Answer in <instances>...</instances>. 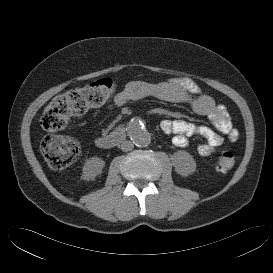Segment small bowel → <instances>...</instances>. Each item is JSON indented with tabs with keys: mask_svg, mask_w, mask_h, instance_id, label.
Here are the masks:
<instances>
[{
	"mask_svg": "<svg viewBox=\"0 0 273 273\" xmlns=\"http://www.w3.org/2000/svg\"><path fill=\"white\" fill-rule=\"evenodd\" d=\"M155 97L167 102L186 104L199 115L207 117L214 129L180 119L163 120V132L173 134V144L185 148L192 136H200L205 142L198 146V153L211 156L224 143L225 137L231 142L238 140V132L232 127L226 109L215 103L212 97L202 94L199 86L191 79L174 77L161 82L130 80L114 99L115 106H123L128 101Z\"/></svg>",
	"mask_w": 273,
	"mask_h": 273,
	"instance_id": "small-bowel-1",
	"label": "small bowel"
}]
</instances>
